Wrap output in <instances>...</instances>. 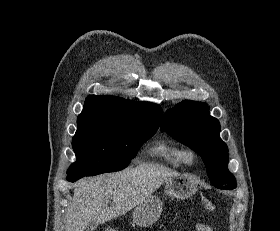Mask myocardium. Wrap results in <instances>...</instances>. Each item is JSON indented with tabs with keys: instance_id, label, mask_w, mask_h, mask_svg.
Segmentation results:
<instances>
[{
	"instance_id": "1",
	"label": "myocardium",
	"mask_w": 280,
	"mask_h": 231,
	"mask_svg": "<svg viewBox=\"0 0 280 231\" xmlns=\"http://www.w3.org/2000/svg\"><path fill=\"white\" fill-rule=\"evenodd\" d=\"M183 163L188 167H194L199 161V153L196 149L188 147L182 153Z\"/></svg>"
}]
</instances>
